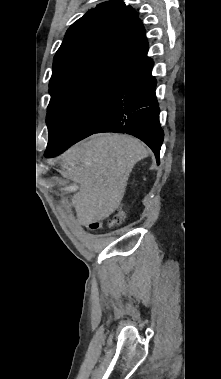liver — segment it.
Segmentation results:
<instances>
[{
	"instance_id": "liver-1",
	"label": "liver",
	"mask_w": 221,
	"mask_h": 379,
	"mask_svg": "<svg viewBox=\"0 0 221 379\" xmlns=\"http://www.w3.org/2000/svg\"><path fill=\"white\" fill-rule=\"evenodd\" d=\"M148 154L132 136L100 134L62 155V176L80 185L72 203L81 224L101 221L119 207L134 165Z\"/></svg>"
}]
</instances>
